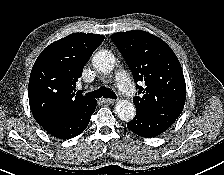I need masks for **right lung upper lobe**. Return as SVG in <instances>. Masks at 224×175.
I'll list each match as a JSON object with an SVG mask.
<instances>
[{"instance_id": "cb5924a9", "label": "right lung upper lobe", "mask_w": 224, "mask_h": 175, "mask_svg": "<svg viewBox=\"0 0 224 175\" xmlns=\"http://www.w3.org/2000/svg\"><path fill=\"white\" fill-rule=\"evenodd\" d=\"M103 40L99 34L73 33L53 42L38 56L29 79L28 97L39 125L95 102L75 88L85 64Z\"/></svg>"}]
</instances>
